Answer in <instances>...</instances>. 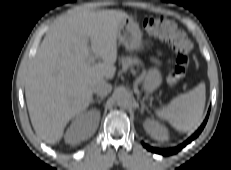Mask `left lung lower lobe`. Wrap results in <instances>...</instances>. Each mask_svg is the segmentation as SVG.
I'll return each instance as SVG.
<instances>
[{
    "instance_id": "1",
    "label": "left lung lower lobe",
    "mask_w": 231,
    "mask_h": 170,
    "mask_svg": "<svg viewBox=\"0 0 231 170\" xmlns=\"http://www.w3.org/2000/svg\"><path fill=\"white\" fill-rule=\"evenodd\" d=\"M208 116H209V112L208 115L205 119V121L203 122V124L201 125V127L189 138L187 139L184 143H182L181 145L174 147V148H170V149H157L154 147H150L146 144H143L145 148H147L149 151L158 153V154H162V155H172L175 154L177 152H179L183 147H185L187 144H189L192 140H194L203 130L207 120H208Z\"/></svg>"
}]
</instances>
